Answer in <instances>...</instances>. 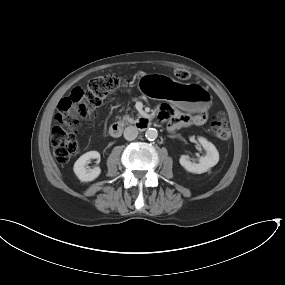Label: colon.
I'll list each match as a JSON object with an SVG mask.
<instances>
[{"instance_id": "colon-1", "label": "colon", "mask_w": 285, "mask_h": 285, "mask_svg": "<svg viewBox=\"0 0 285 285\" xmlns=\"http://www.w3.org/2000/svg\"><path fill=\"white\" fill-rule=\"evenodd\" d=\"M174 74L181 81L190 77L189 71L182 68H177ZM131 82L114 74L101 75L90 80L86 87L73 88L69 95L59 101L51 129V144L57 162L65 163L78 152L76 127L79 122L93 116L107 97L121 88L129 87ZM210 131L218 140L229 138V123L223 112L214 116Z\"/></svg>"}]
</instances>
